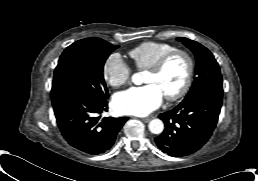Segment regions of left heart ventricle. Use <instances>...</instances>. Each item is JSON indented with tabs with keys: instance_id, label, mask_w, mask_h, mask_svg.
Here are the masks:
<instances>
[{
	"instance_id": "b2bd125f",
	"label": "left heart ventricle",
	"mask_w": 258,
	"mask_h": 181,
	"mask_svg": "<svg viewBox=\"0 0 258 181\" xmlns=\"http://www.w3.org/2000/svg\"><path fill=\"white\" fill-rule=\"evenodd\" d=\"M187 62L182 56H175L160 73L146 72L145 83L157 85L164 95L178 91L185 81Z\"/></svg>"
}]
</instances>
